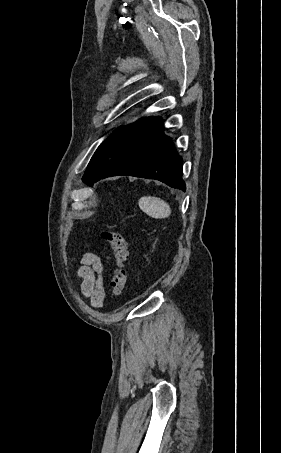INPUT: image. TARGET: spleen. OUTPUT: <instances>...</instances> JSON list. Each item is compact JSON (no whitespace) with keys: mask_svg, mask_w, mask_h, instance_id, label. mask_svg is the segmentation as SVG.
Masks as SVG:
<instances>
[{"mask_svg":"<svg viewBox=\"0 0 281 453\" xmlns=\"http://www.w3.org/2000/svg\"><path fill=\"white\" fill-rule=\"evenodd\" d=\"M141 210L152 216V218H166L171 214L168 202L157 198V196H141L138 202Z\"/></svg>","mask_w":281,"mask_h":453,"instance_id":"obj_1","label":"spleen"}]
</instances>
